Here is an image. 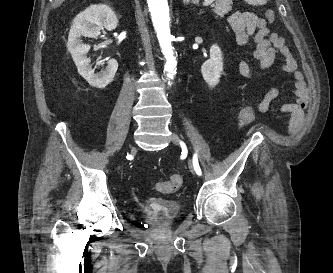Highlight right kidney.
<instances>
[{"instance_id":"right-kidney-1","label":"right kidney","mask_w":333,"mask_h":273,"mask_svg":"<svg viewBox=\"0 0 333 273\" xmlns=\"http://www.w3.org/2000/svg\"><path fill=\"white\" fill-rule=\"evenodd\" d=\"M117 25L118 19L114 11L106 4L91 5L74 18L67 47L78 73L93 87L102 89L110 84L118 69V63L115 59H106L105 71L95 74V69L90 65L91 60L87 58L90 45L82 43L80 38H96L104 28L111 31L115 30ZM104 61H100L99 65H103Z\"/></svg>"}]
</instances>
